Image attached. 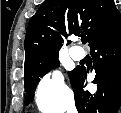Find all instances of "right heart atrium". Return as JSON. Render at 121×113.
Masks as SVG:
<instances>
[{
    "mask_svg": "<svg viewBox=\"0 0 121 113\" xmlns=\"http://www.w3.org/2000/svg\"><path fill=\"white\" fill-rule=\"evenodd\" d=\"M36 102L43 110H67L72 103V92L64 83L60 72L46 74L36 89Z\"/></svg>",
    "mask_w": 121,
    "mask_h": 113,
    "instance_id": "d8ad5b80",
    "label": "right heart atrium"
}]
</instances>
